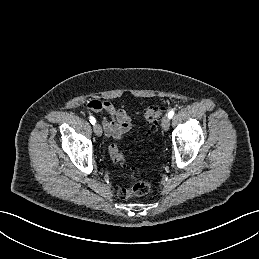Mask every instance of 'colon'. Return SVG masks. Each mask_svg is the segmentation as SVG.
<instances>
[{"instance_id": "colon-1", "label": "colon", "mask_w": 259, "mask_h": 259, "mask_svg": "<svg viewBox=\"0 0 259 259\" xmlns=\"http://www.w3.org/2000/svg\"><path fill=\"white\" fill-rule=\"evenodd\" d=\"M164 114V109L160 106H152L145 110L144 119L149 125L151 131L156 130L161 117ZM108 154L112 162L124 165V157L117 145L112 144L108 148ZM135 183L130 188H122L119 190L121 199H128L132 196H142L148 193L150 184L142 176H134Z\"/></svg>"}]
</instances>
